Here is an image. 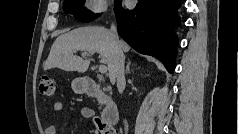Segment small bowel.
Here are the masks:
<instances>
[{
    "label": "small bowel",
    "mask_w": 239,
    "mask_h": 134,
    "mask_svg": "<svg viewBox=\"0 0 239 134\" xmlns=\"http://www.w3.org/2000/svg\"><path fill=\"white\" fill-rule=\"evenodd\" d=\"M67 110H74V108L67 106L65 103L61 101H57L54 104V111L57 114H61ZM80 112H81V116L85 119H90L94 116V110L89 106L82 107ZM45 134H58L57 127L55 125H50L46 127Z\"/></svg>",
    "instance_id": "1"
}]
</instances>
